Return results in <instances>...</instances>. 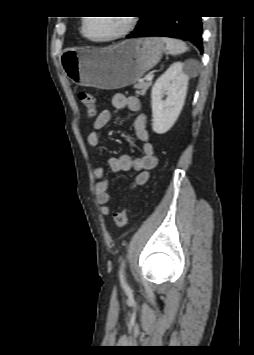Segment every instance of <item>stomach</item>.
Listing matches in <instances>:
<instances>
[{
  "instance_id": "0dacf381",
  "label": "stomach",
  "mask_w": 254,
  "mask_h": 355,
  "mask_svg": "<svg viewBox=\"0 0 254 355\" xmlns=\"http://www.w3.org/2000/svg\"><path fill=\"white\" fill-rule=\"evenodd\" d=\"M164 49L161 38L144 37L102 49H65L60 62L72 82L111 90L136 83L160 61Z\"/></svg>"
}]
</instances>
